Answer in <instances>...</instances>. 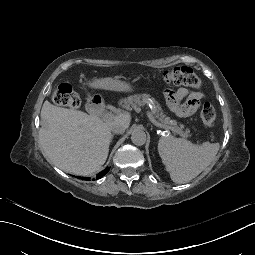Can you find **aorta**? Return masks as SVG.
<instances>
[{"mask_svg": "<svg viewBox=\"0 0 255 255\" xmlns=\"http://www.w3.org/2000/svg\"><path fill=\"white\" fill-rule=\"evenodd\" d=\"M131 140L136 146H142L146 143V133L141 129H135L131 134Z\"/></svg>", "mask_w": 255, "mask_h": 255, "instance_id": "762f6f07", "label": "aorta"}]
</instances>
